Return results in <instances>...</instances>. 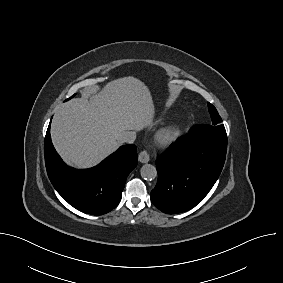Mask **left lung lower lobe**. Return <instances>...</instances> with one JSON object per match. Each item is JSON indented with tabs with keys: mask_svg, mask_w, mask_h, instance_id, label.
Instances as JSON below:
<instances>
[{
	"mask_svg": "<svg viewBox=\"0 0 283 283\" xmlns=\"http://www.w3.org/2000/svg\"><path fill=\"white\" fill-rule=\"evenodd\" d=\"M227 134L198 125L156 160L158 181L152 203L162 212H185L198 203L217 181L226 158Z\"/></svg>",
	"mask_w": 283,
	"mask_h": 283,
	"instance_id": "0a47b994",
	"label": "left lung lower lobe"
}]
</instances>
